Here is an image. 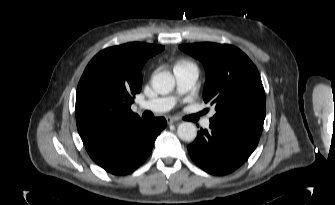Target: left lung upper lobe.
<instances>
[{
  "mask_svg": "<svg viewBox=\"0 0 335 205\" xmlns=\"http://www.w3.org/2000/svg\"><path fill=\"white\" fill-rule=\"evenodd\" d=\"M179 48L203 63V99L216 110L211 119L261 135L265 92L253 62L240 49L227 44L204 42Z\"/></svg>",
  "mask_w": 335,
  "mask_h": 205,
  "instance_id": "1",
  "label": "left lung upper lobe"
}]
</instances>
